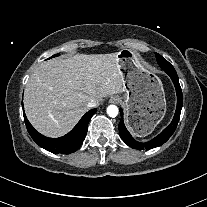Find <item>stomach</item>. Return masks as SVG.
I'll list each match as a JSON object with an SVG mask.
<instances>
[{"label": "stomach", "instance_id": "1", "mask_svg": "<svg viewBox=\"0 0 207 207\" xmlns=\"http://www.w3.org/2000/svg\"><path fill=\"white\" fill-rule=\"evenodd\" d=\"M123 73V95L118 97L128 116L127 122L142 135L151 133L166 111V99L161 81L141 68L135 53L122 49L117 55Z\"/></svg>", "mask_w": 207, "mask_h": 207}]
</instances>
